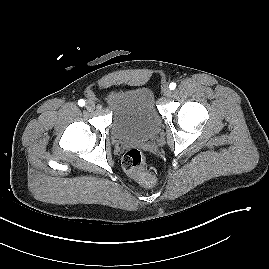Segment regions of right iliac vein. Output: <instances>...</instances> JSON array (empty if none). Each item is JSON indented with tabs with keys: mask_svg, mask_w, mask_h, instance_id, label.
Masks as SVG:
<instances>
[{
	"mask_svg": "<svg viewBox=\"0 0 269 269\" xmlns=\"http://www.w3.org/2000/svg\"><path fill=\"white\" fill-rule=\"evenodd\" d=\"M85 107L87 110L93 111L95 109V103L92 100H88Z\"/></svg>",
	"mask_w": 269,
	"mask_h": 269,
	"instance_id": "1",
	"label": "right iliac vein"
}]
</instances>
